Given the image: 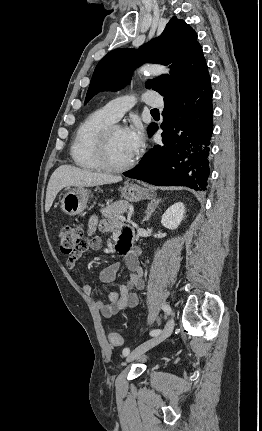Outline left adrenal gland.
<instances>
[{
	"label": "left adrenal gland",
	"mask_w": 262,
	"mask_h": 431,
	"mask_svg": "<svg viewBox=\"0 0 262 431\" xmlns=\"http://www.w3.org/2000/svg\"><path fill=\"white\" fill-rule=\"evenodd\" d=\"M161 202V199H157V200H153L151 201L148 206H147V210H146V215L143 218L142 223H144L146 220H149L150 216L152 215V213L154 212V210L156 209V207L158 206V204Z\"/></svg>",
	"instance_id": "left-adrenal-gland-1"
}]
</instances>
